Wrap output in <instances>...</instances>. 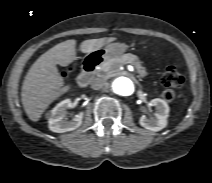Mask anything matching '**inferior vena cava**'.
<instances>
[{
    "label": "inferior vena cava",
    "mask_w": 212,
    "mask_h": 183,
    "mask_svg": "<svg viewBox=\"0 0 212 183\" xmlns=\"http://www.w3.org/2000/svg\"><path fill=\"white\" fill-rule=\"evenodd\" d=\"M105 82L102 78H94L91 82V88L94 90H99L104 86Z\"/></svg>",
    "instance_id": "obj_1"
}]
</instances>
